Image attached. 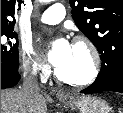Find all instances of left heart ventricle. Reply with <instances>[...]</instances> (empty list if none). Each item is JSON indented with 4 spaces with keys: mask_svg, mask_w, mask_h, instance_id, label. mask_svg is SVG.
<instances>
[{
    "mask_svg": "<svg viewBox=\"0 0 123 113\" xmlns=\"http://www.w3.org/2000/svg\"><path fill=\"white\" fill-rule=\"evenodd\" d=\"M90 57L87 50L79 45L71 46V53L67 61L58 67L61 75L69 78H81L88 74Z\"/></svg>",
    "mask_w": 123,
    "mask_h": 113,
    "instance_id": "1",
    "label": "left heart ventricle"
}]
</instances>
